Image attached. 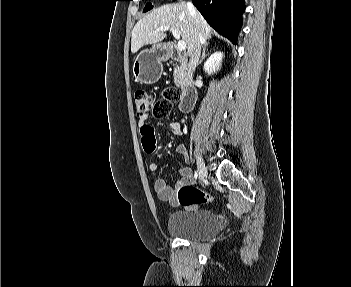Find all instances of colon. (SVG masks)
<instances>
[{
  "label": "colon",
  "instance_id": "obj_1",
  "mask_svg": "<svg viewBox=\"0 0 351 287\" xmlns=\"http://www.w3.org/2000/svg\"><path fill=\"white\" fill-rule=\"evenodd\" d=\"M181 98L180 91L175 88H168L163 91L162 99L154 101L152 95L145 90H138L135 93L134 101L138 115L142 116L152 112L155 119H162L168 116L172 105ZM156 139V138H155ZM178 202L184 207H192L215 200L214 196L198 189L192 185H184L178 190Z\"/></svg>",
  "mask_w": 351,
  "mask_h": 287
}]
</instances>
